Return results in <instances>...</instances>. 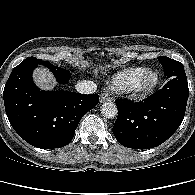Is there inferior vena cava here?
I'll return each instance as SVG.
<instances>
[{"label":"inferior vena cava","mask_w":195,"mask_h":195,"mask_svg":"<svg viewBox=\"0 0 195 195\" xmlns=\"http://www.w3.org/2000/svg\"><path fill=\"white\" fill-rule=\"evenodd\" d=\"M76 90L82 94H92L97 90V85L93 81L85 80L76 84Z\"/></svg>","instance_id":"602c4592"}]
</instances>
